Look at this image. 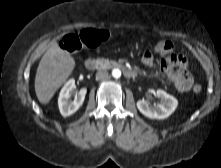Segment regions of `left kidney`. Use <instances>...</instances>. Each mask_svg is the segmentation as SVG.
<instances>
[{
  "mask_svg": "<svg viewBox=\"0 0 221 168\" xmlns=\"http://www.w3.org/2000/svg\"><path fill=\"white\" fill-rule=\"evenodd\" d=\"M155 96L161 99V103L152 106L145 100H139L137 101L138 110L150 119H165L169 117L177 108V99L161 89L156 91Z\"/></svg>",
  "mask_w": 221,
  "mask_h": 168,
  "instance_id": "left-kidney-1",
  "label": "left kidney"
}]
</instances>
